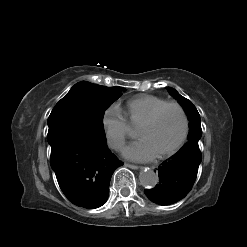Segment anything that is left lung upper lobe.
Masks as SVG:
<instances>
[{"instance_id":"left-lung-upper-lobe-1","label":"left lung upper lobe","mask_w":247,"mask_h":247,"mask_svg":"<svg viewBox=\"0 0 247 247\" xmlns=\"http://www.w3.org/2000/svg\"><path fill=\"white\" fill-rule=\"evenodd\" d=\"M167 90L173 97H175L178 100V102L183 106L187 113L188 119L190 121L188 140L198 142L202 135V129L200 123V115L196 107L192 104L190 100L181 96L175 89L168 87Z\"/></svg>"}]
</instances>
